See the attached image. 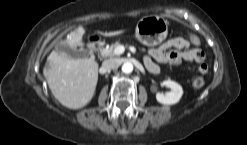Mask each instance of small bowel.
Wrapping results in <instances>:
<instances>
[{"mask_svg":"<svg viewBox=\"0 0 247 145\" xmlns=\"http://www.w3.org/2000/svg\"><path fill=\"white\" fill-rule=\"evenodd\" d=\"M199 45L200 39L196 35H191L189 39L171 38L159 47L149 50L144 63L147 69L154 74L159 71L155 61L172 65L182 62L202 63L205 60V53L198 48Z\"/></svg>","mask_w":247,"mask_h":145,"instance_id":"small-bowel-1","label":"small bowel"}]
</instances>
